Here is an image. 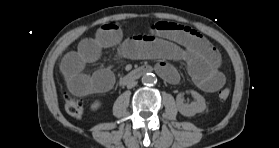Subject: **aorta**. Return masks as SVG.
I'll return each instance as SVG.
<instances>
[{
  "label": "aorta",
  "instance_id": "1",
  "mask_svg": "<svg viewBox=\"0 0 279 148\" xmlns=\"http://www.w3.org/2000/svg\"><path fill=\"white\" fill-rule=\"evenodd\" d=\"M157 82V78L153 73H147L142 77V83L144 85H154Z\"/></svg>",
  "mask_w": 279,
  "mask_h": 148
}]
</instances>
